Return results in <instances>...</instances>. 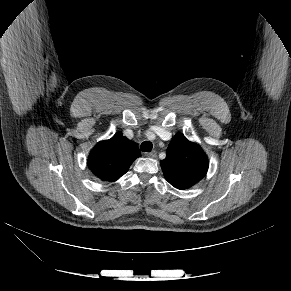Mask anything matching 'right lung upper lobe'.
I'll list each match as a JSON object with an SVG mask.
<instances>
[{"mask_svg": "<svg viewBox=\"0 0 291 291\" xmlns=\"http://www.w3.org/2000/svg\"><path fill=\"white\" fill-rule=\"evenodd\" d=\"M140 156L137 144L118 132L111 139L100 141L91 150L88 167L102 181L114 182Z\"/></svg>", "mask_w": 291, "mask_h": 291, "instance_id": "1", "label": "right lung upper lobe"}]
</instances>
